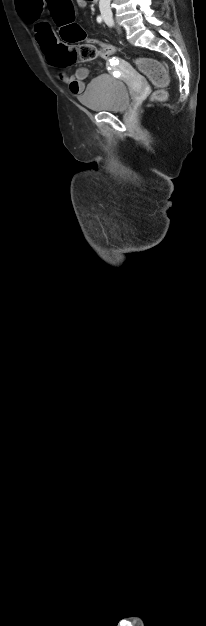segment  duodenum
<instances>
[{
	"label": "duodenum",
	"instance_id": "1",
	"mask_svg": "<svg viewBox=\"0 0 206 626\" xmlns=\"http://www.w3.org/2000/svg\"><path fill=\"white\" fill-rule=\"evenodd\" d=\"M92 3H97L98 0H90Z\"/></svg>",
	"mask_w": 206,
	"mask_h": 626
}]
</instances>
